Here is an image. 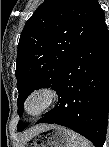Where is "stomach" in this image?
Here are the masks:
<instances>
[{"label": "stomach", "instance_id": "obj_1", "mask_svg": "<svg viewBox=\"0 0 109 147\" xmlns=\"http://www.w3.org/2000/svg\"><path fill=\"white\" fill-rule=\"evenodd\" d=\"M70 130L48 125L43 130L24 140L22 147H67Z\"/></svg>", "mask_w": 109, "mask_h": 147}]
</instances>
